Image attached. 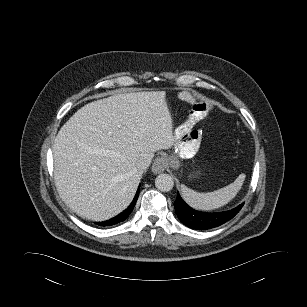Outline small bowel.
I'll use <instances>...</instances> for the list:
<instances>
[{
	"label": "small bowel",
	"instance_id": "small-bowel-1",
	"mask_svg": "<svg viewBox=\"0 0 307 307\" xmlns=\"http://www.w3.org/2000/svg\"><path fill=\"white\" fill-rule=\"evenodd\" d=\"M211 111L209 104L204 102H199L193 105L187 119L183 124L175 126L173 133L175 137L182 139L186 138L188 135L194 133L196 126L195 124L206 117Z\"/></svg>",
	"mask_w": 307,
	"mask_h": 307
}]
</instances>
